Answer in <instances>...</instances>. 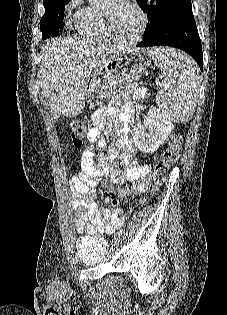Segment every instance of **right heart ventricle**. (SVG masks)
<instances>
[{
    "instance_id": "right-heart-ventricle-1",
    "label": "right heart ventricle",
    "mask_w": 227,
    "mask_h": 315,
    "mask_svg": "<svg viewBox=\"0 0 227 315\" xmlns=\"http://www.w3.org/2000/svg\"><path fill=\"white\" fill-rule=\"evenodd\" d=\"M74 27L79 35L86 39H112L108 35L99 7L88 6L80 8L74 16Z\"/></svg>"
}]
</instances>
